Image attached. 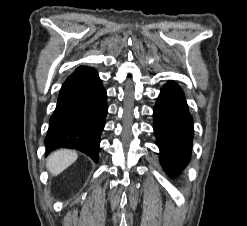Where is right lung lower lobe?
<instances>
[{
    "mask_svg": "<svg viewBox=\"0 0 247 226\" xmlns=\"http://www.w3.org/2000/svg\"><path fill=\"white\" fill-rule=\"evenodd\" d=\"M107 95L97 71L78 67L64 82L50 118L46 153L65 147L77 149L98 161L100 134L107 113Z\"/></svg>",
    "mask_w": 247,
    "mask_h": 226,
    "instance_id": "1",
    "label": "right lung lower lobe"
}]
</instances>
